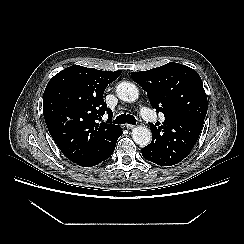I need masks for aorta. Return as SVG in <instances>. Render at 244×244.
<instances>
[{
	"label": "aorta",
	"mask_w": 244,
	"mask_h": 244,
	"mask_svg": "<svg viewBox=\"0 0 244 244\" xmlns=\"http://www.w3.org/2000/svg\"><path fill=\"white\" fill-rule=\"evenodd\" d=\"M116 94L122 101L134 102L139 97V90L133 83L121 82L116 87ZM132 138L137 145L144 147L151 142L152 134L149 128L136 126L132 130Z\"/></svg>",
	"instance_id": "762f6f07"
}]
</instances>
